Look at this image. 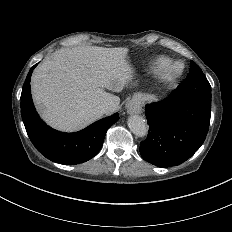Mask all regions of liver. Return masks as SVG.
Segmentation results:
<instances>
[{
    "mask_svg": "<svg viewBox=\"0 0 232 232\" xmlns=\"http://www.w3.org/2000/svg\"><path fill=\"white\" fill-rule=\"evenodd\" d=\"M127 48L77 46L61 48L35 68L31 77L33 100L41 117L53 128L75 131L100 119V106L115 112L121 92L132 79Z\"/></svg>",
    "mask_w": 232,
    "mask_h": 232,
    "instance_id": "liver-1",
    "label": "liver"
}]
</instances>
